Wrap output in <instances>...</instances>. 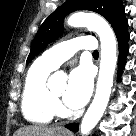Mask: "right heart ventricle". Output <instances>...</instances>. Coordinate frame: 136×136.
<instances>
[{"label":"right heart ventricle","instance_id":"right-heart-ventricle-1","mask_svg":"<svg viewBox=\"0 0 136 136\" xmlns=\"http://www.w3.org/2000/svg\"><path fill=\"white\" fill-rule=\"evenodd\" d=\"M53 68L37 60L25 77L21 108L24 117L32 123H49L55 116L56 104L47 87V79Z\"/></svg>","mask_w":136,"mask_h":136}]
</instances>
